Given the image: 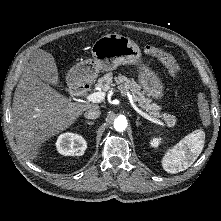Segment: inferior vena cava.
<instances>
[{"instance_id":"1","label":"inferior vena cava","mask_w":221,"mask_h":221,"mask_svg":"<svg viewBox=\"0 0 221 221\" xmlns=\"http://www.w3.org/2000/svg\"><path fill=\"white\" fill-rule=\"evenodd\" d=\"M100 114L101 111L99 110V108H91L84 113V117L87 119H97Z\"/></svg>"}]
</instances>
